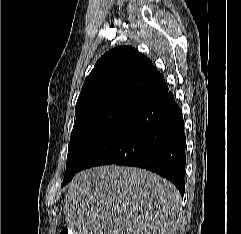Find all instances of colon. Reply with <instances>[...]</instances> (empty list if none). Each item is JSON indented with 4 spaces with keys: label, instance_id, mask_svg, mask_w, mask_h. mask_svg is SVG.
I'll return each mask as SVG.
<instances>
[{
    "label": "colon",
    "instance_id": "1",
    "mask_svg": "<svg viewBox=\"0 0 241 234\" xmlns=\"http://www.w3.org/2000/svg\"><path fill=\"white\" fill-rule=\"evenodd\" d=\"M60 234H70L69 230L67 228H63L60 232Z\"/></svg>",
    "mask_w": 241,
    "mask_h": 234
}]
</instances>
